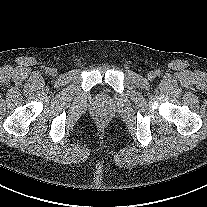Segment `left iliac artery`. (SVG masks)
<instances>
[{
  "instance_id": "1",
  "label": "left iliac artery",
  "mask_w": 207,
  "mask_h": 207,
  "mask_svg": "<svg viewBox=\"0 0 207 207\" xmlns=\"http://www.w3.org/2000/svg\"><path fill=\"white\" fill-rule=\"evenodd\" d=\"M161 73H160V71L159 70H157L156 72H155V75H157V76H159Z\"/></svg>"
}]
</instances>
